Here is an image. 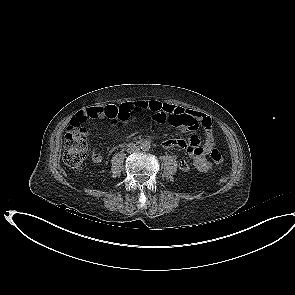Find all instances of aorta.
<instances>
[{
	"mask_svg": "<svg viewBox=\"0 0 295 295\" xmlns=\"http://www.w3.org/2000/svg\"><path fill=\"white\" fill-rule=\"evenodd\" d=\"M140 147L143 151H148L150 149V142L149 141H143L141 144H140Z\"/></svg>",
	"mask_w": 295,
	"mask_h": 295,
	"instance_id": "762f6f07",
	"label": "aorta"
}]
</instances>
